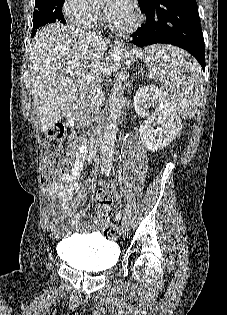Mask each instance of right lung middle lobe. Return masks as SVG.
I'll list each match as a JSON object with an SVG mask.
<instances>
[{"label":"right lung middle lobe","instance_id":"obj_1","mask_svg":"<svg viewBox=\"0 0 227 315\" xmlns=\"http://www.w3.org/2000/svg\"><path fill=\"white\" fill-rule=\"evenodd\" d=\"M65 0H35V7L33 13V32L35 35L36 29L46 24L60 21L65 23L62 14V6Z\"/></svg>","mask_w":227,"mask_h":315}]
</instances>
